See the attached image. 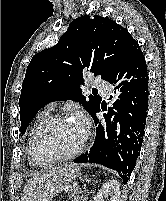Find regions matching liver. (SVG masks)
I'll list each match as a JSON object with an SVG mask.
<instances>
[{
	"mask_svg": "<svg viewBox=\"0 0 166 201\" xmlns=\"http://www.w3.org/2000/svg\"><path fill=\"white\" fill-rule=\"evenodd\" d=\"M56 168H53L46 172H39L34 174L27 182V184L24 187L23 191V201H29L31 200L33 196L34 190L42 184L49 176H51L53 173L56 172Z\"/></svg>",
	"mask_w": 166,
	"mask_h": 201,
	"instance_id": "6515ba94",
	"label": "liver"
}]
</instances>
